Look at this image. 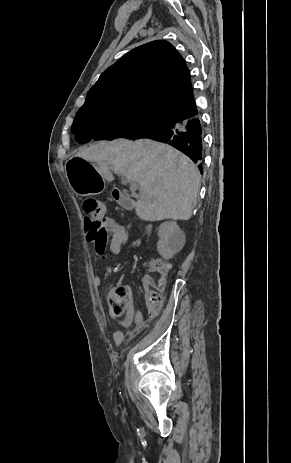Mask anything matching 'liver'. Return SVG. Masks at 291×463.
<instances>
[{
	"instance_id": "liver-1",
	"label": "liver",
	"mask_w": 291,
	"mask_h": 463,
	"mask_svg": "<svg viewBox=\"0 0 291 463\" xmlns=\"http://www.w3.org/2000/svg\"><path fill=\"white\" fill-rule=\"evenodd\" d=\"M92 162L99 175L112 182L114 171L137 183V216L144 221L189 220L197 203L200 173L195 164L173 147L150 139H117L81 148L77 154Z\"/></svg>"
}]
</instances>
